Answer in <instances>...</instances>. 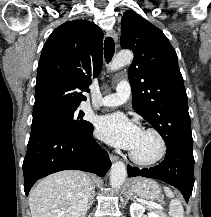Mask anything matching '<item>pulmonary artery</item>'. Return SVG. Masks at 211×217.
Instances as JSON below:
<instances>
[{"label":"pulmonary artery","mask_w":211,"mask_h":217,"mask_svg":"<svg viewBox=\"0 0 211 217\" xmlns=\"http://www.w3.org/2000/svg\"><path fill=\"white\" fill-rule=\"evenodd\" d=\"M131 95V86L127 81H120L116 86V92L104 96L96 106L115 107L124 104Z\"/></svg>","instance_id":"e3ab8cb5"}]
</instances>
